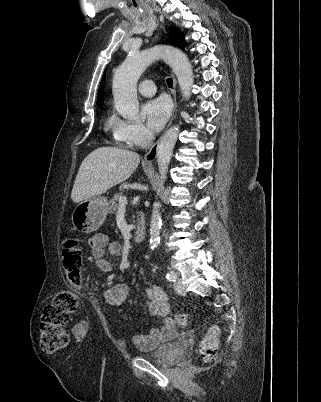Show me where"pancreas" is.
Instances as JSON below:
<instances>
[{
  "label": "pancreas",
  "mask_w": 321,
  "mask_h": 402,
  "mask_svg": "<svg viewBox=\"0 0 321 402\" xmlns=\"http://www.w3.org/2000/svg\"><path fill=\"white\" fill-rule=\"evenodd\" d=\"M122 193L115 194L113 198L110 200V206H109V213H114L117 209V201L119 200L120 197H122Z\"/></svg>",
  "instance_id": "1"
}]
</instances>
